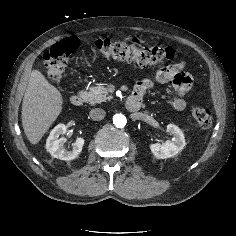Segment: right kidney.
<instances>
[{
  "instance_id": "1",
  "label": "right kidney",
  "mask_w": 236,
  "mask_h": 236,
  "mask_svg": "<svg viewBox=\"0 0 236 236\" xmlns=\"http://www.w3.org/2000/svg\"><path fill=\"white\" fill-rule=\"evenodd\" d=\"M66 131L67 127L65 124H58L54 127L47 138L46 150L54 158L60 160H73L81 153L85 140L82 137H78L76 142L73 143V148L67 150L64 148L66 138L63 136L60 137L61 135H64Z\"/></svg>"
}]
</instances>
